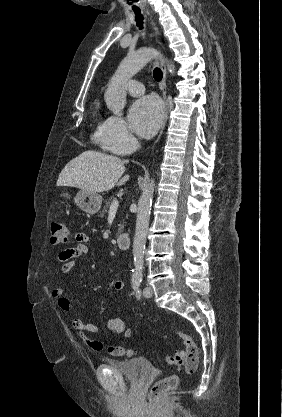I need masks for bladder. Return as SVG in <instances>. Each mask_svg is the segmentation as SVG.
Returning a JSON list of instances; mask_svg holds the SVG:
<instances>
[{
  "label": "bladder",
  "instance_id": "1",
  "mask_svg": "<svg viewBox=\"0 0 282 417\" xmlns=\"http://www.w3.org/2000/svg\"><path fill=\"white\" fill-rule=\"evenodd\" d=\"M106 364L120 372L128 381L139 385L144 382L151 371V362L144 357H133L128 359L108 358Z\"/></svg>",
  "mask_w": 282,
  "mask_h": 417
}]
</instances>
